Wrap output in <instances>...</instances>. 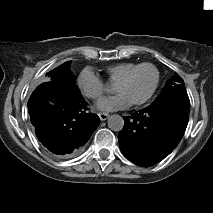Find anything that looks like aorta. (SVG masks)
<instances>
[{"mask_svg":"<svg viewBox=\"0 0 213 213\" xmlns=\"http://www.w3.org/2000/svg\"><path fill=\"white\" fill-rule=\"evenodd\" d=\"M108 127L112 131L119 132L123 129L124 127V119L122 116L113 114L108 117Z\"/></svg>","mask_w":213,"mask_h":213,"instance_id":"762f6f07","label":"aorta"}]
</instances>
